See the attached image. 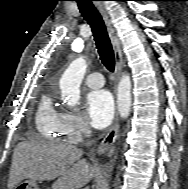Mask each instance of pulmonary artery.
<instances>
[{
  "label": "pulmonary artery",
  "mask_w": 188,
  "mask_h": 189,
  "mask_svg": "<svg viewBox=\"0 0 188 189\" xmlns=\"http://www.w3.org/2000/svg\"><path fill=\"white\" fill-rule=\"evenodd\" d=\"M85 83L90 88H100L104 85V78L102 74L98 72L91 73L85 78Z\"/></svg>",
  "instance_id": "1"
}]
</instances>
